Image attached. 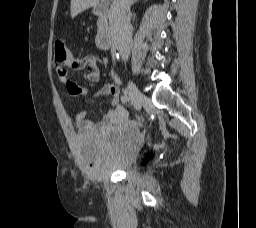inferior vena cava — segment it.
Returning <instances> with one entry per match:
<instances>
[{"mask_svg": "<svg viewBox=\"0 0 256 228\" xmlns=\"http://www.w3.org/2000/svg\"><path fill=\"white\" fill-rule=\"evenodd\" d=\"M134 0H114L109 11L111 35L122 60L130 56L132 46V27L126 16Z\"/></svg>", "mask_w": 256, "mask_h": 228, "instance_id": "1", "label": "inferior vena cava"}]
</instances>
